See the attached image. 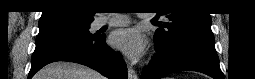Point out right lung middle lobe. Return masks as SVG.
I'll list each match as a JSON object with an SVG mask.
<instances>
[{
	"instance_id": "1",
	"label": "right lung middle lobe",
	"mask_w": 255,
	"mask_h": 79,
	"mask_svg": "<svg viewBox=\"0 0 255 79\" xmlns=\"http://www.w3.org/2000/svg\"><path fill=\"white\" fill-rule=\"evenodd\" d=\"M92 21H84L72 15L48 17L39 20V34L37 38L49 35H66L77 38H92L95 34L89 32Z\"/></svg>"
}]
</instances>
